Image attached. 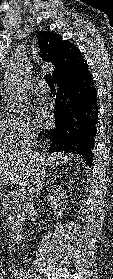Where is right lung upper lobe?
<instances>
[{"instance_id": "right-lung-upper-lobe-1", "label": "right lung upper lobe", "mask_w": 113, "mask_h": 279, "mask_svg": "<svg viewBox=\"0 0 113 279\" xmlns=\"http://www.w3.org/2000/svg\"><path fill=\"white\" fill-rule=\"evenodd\" d=\"M43 61L55 66L52 78L59 82L74 75L86 64L80 50L62 37L53 32L40 31L36 35Z\"/></svg>"}]
</instances>
